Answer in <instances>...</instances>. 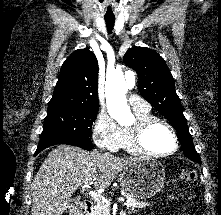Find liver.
Masks as SVG:
<instances>
[{"label":"liver","instance_id":"6515ba94","mask_svg":"<svg viewBox=\"0 0 221 215\" xmlns=\"http://www.w3.org/2000/svg\"><path fill=\"white\" fill-rule=\"evenodd\" d=\"M137 161L58 145L48 154L32 182V215H62L71 208L72 194L77 189L88 184L106 188L118 173Z\"/></svg>","mask_w":221,"mask_h":215}]
</instances>
